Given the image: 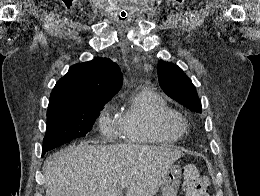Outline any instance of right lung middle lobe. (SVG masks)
Wrapping results in <instances>:
<instances>
[{
  "label": "right lung middle lobe",
  "instance_id": "obj_1",
  "mask_svg": "<svg viewBox=\"0 0 260 196\" xmlns=\"http://www.w3.org/2000/svg\"><path fill=\"white\" fill-rule=\"evenodd\" d=\"M107 102L48 106L43 150H52L75 138L84 137L92 129L99 111Z\"/></svg>",
  "mask_w": 260,
  "mask_h": 196
}]
</instances>
